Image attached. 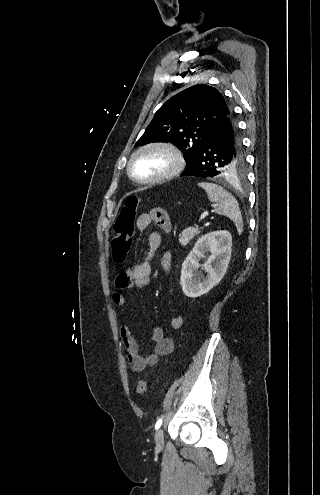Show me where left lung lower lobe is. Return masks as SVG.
Segmentation results:
<instances>
[{"label": "left lung lower lobe", "instance_id": "left-lung-lower-lobe-1", "mask_svg": "<svg viewBox=\"0 0 320 495\" xmlns=\"http://www.w3.org/2000/svg\"><path fill=\"white\" fill-rule=\"evenodd\" d=\"M241 151L240 136L231 113L216 127L181 176H217L219 168L234 160Z\"/></svg>", "mask_w": 320, "mask_h": 495}]
</instances>
